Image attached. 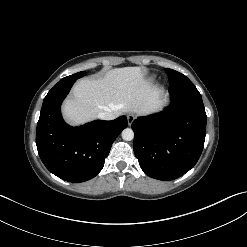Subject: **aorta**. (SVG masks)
I'll list each match as a JSON object with an SVG mask.
<instances>
[{"label":"aorta","mask_w":247,"mask_h":247,"mask_svg":"<svg viewBox=\"0 0 247 247\" xmlns=\"http://www.w3.org/2000/svg\"><path fill=\"white\" fill-rule=\"evenodd\" d=\"M122 138L125 141H131L134 138V132L131 128H126L122 131Z\"/></svg>","instance_id":"aorta-1"}]
</instances>
